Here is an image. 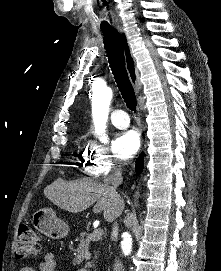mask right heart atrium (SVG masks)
<instances>
[{
	"label": "right heart atrium",
	"mask_w": 221,
	"mask_h": 271,
	"mask_svg": "<svg viewBox=\"0 0 221 271\" xmlns=\"http://www.w3.org/2000/svg\"><path fill=\"white\" fill-rule=\"evenodd\" d=\"M93 151H77V159L82 162L81 171L85 173V177H103V173L107 172V167H111L112 154L108 151H94L96 148H91Z\"/></svg>",
	"instance_id": "obj_1"
}]
</instances>
